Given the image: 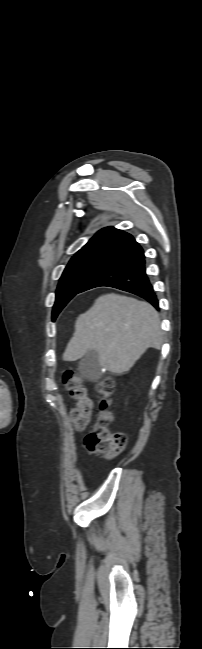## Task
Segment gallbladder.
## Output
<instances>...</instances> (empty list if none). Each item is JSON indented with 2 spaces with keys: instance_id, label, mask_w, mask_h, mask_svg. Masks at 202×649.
<instances>
[{
  "instance_id": "gallbladder-1",
  "label": "gallbladder",
  "mask_w": 202,
  "mask_h": 649,
  "mask_svg": "<svg viewBox=\"0 0 202 649\" xmlns=\"http://www.w3.org/2000/svg\"><path fill=\"white\" fill-rule=\"evenodd\" d=\"M81 374L90 381L101 378L102 370L99 364V354L95 350H89L79 362Z\"/></svg>"
}]
</instances>
